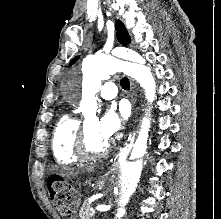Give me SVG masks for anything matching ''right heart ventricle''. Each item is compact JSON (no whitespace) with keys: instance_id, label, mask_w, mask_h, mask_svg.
<instances>
[{"instance_id":"right-heart-ventricle-1","label":"right heart ventricle","mask_w":221,"mask_h":219,"mask_svg":"<svg viewBox=\"0 0 221 219\" xmlns=\"http://www.w3.org/2000/svg\"><path fill=\"white\" fill-rule=\"evenodd\" d=\"M80 126V119L71 113L62 115L58 120L52 136V151L59 165L69 166L80 161L75 153Z\"/></svg>"}]
</instances>
